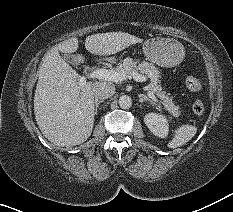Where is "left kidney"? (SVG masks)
Here are the masks:
<instances>
[{"mask_svg":"<svg viewBox=\"0 0 233 212\" xmlns=\"http://www.w3.org/2000/svg\"><path fill=\"white\" fill-rule=\"evenodd\" d=\"M144 122L154 135L160 138H165L168 135L169 126L166 116L149 113L145 115Z\"/></svg>","mask_w":233,"mask_h":212,"instance_id":"obj_1","label":"left kidney"}]
</instances>
